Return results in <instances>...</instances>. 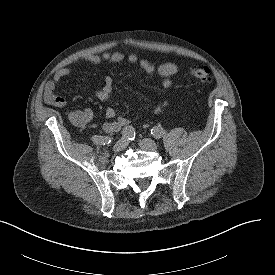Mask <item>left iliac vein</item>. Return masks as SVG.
Masks as SVG:
<instances>
[{"mask_svg":"<svg viewBox=\"0 0 275 275\" xmlns=\"http://www.w3.org/2000/svg\"><path fill=\"white\" fill-rule=\"evenodd\" d=\"M139 146L142 149H145V150H151V151H157L158 150L157 144L149 138L141 139L139 141Z\"/></svg>","mask_w":275,"mask_h":275,"instance_id":"1","label":"left iliac vein"}]
</instances>
